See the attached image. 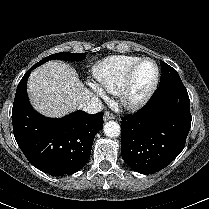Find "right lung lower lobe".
<instances>
[{
	"mask_svg": "<svg viewBox=\"0 0 209 209\" xmlns=\"http://www.w3.org/2000/svg\"><path fill=\"white\" fill-rule=\"evenodd\" d=\"M31 68L21 79L12 108L13 132L28 161L54 176L71 175L84 167L103 112L91 115L77 111L59 119L37 113L28 100L26 84Z\"/></svg>",
	"mask_w": 209,
	"mask_h": 209,
	"instance_id": "98d812e1",
	"label": "right lung lower lobe"
}]
</instances>
